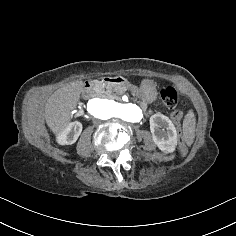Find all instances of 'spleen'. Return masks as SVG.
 <instances>
[{"mask_svg": "<svg viewBox=\"0 0 236 236\" xmlns=\"http://www.w3.org/2000/svg\"><path fill=\"white\" fill-rule=\"evenodd\" d=\"M183 137L188 146L194 141L195 137V116L193 111H189L183 122Z\"/></svg>", "mask_w": 236, "mask_h": 236, "instance_id": "1", "label": "spleen"}]
</instances>
